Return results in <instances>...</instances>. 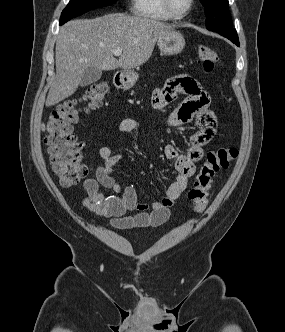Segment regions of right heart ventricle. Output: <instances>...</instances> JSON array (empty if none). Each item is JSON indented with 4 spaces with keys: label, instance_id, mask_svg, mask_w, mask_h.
<instances>
[{
    "label": "right heart ventricle",
    "instance_id": "1",
    "mask_svg": "<svg viewBox=\"0 0 285 332\" xmlns=\"http://www.w3.org/2000/svg\"><path fill=\"white\" fill-rule=\"evenodd\" d=\"M132 12L141 18L155 21H171L172 17L164 8L162 0H132Z\"/></svg>",
    "mask_w": 285,
    "mask_h": 332
}]
</instances>
